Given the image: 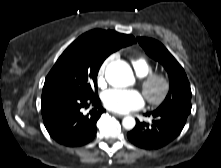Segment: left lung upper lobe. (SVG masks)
Instances as JSON below:
<instances>
[{
    "label": "left lung upper lobe",
    "mask_w": 221,
    "mask_h": 168,
    "mask_svg": "<svg viewBox=\"0 0 221 168\" xmlns=\"http://www.w3.org/2000/svg\"><path fill=\"white\" fill-rule=\"evenodd\" d=\"M137 40L151 58L163 65L169 75V92L155 111L170 109L191 111V88L182 66L160 42L143 37H138Z\"/></svg>",
    "instance_id": "left-lung-upper-lobe-1"
}]
</instances>
